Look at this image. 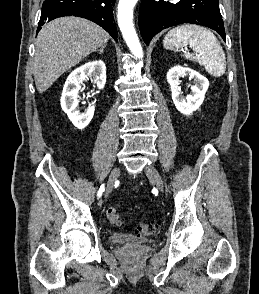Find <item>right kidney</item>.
Returning a JSON list of instances; mask_svg holds the SVG:
<instances>
[{
	"instance_id": "ca27d5eb",
	"label": "right kidney",
	"mask_w": 259,
	"mask_h": 294,
	"mask_svg": "<svg viewBox=\"0 0 259 294\" xmlns=\"http://www.w3.org/2000/svg\"><path fill=\"white\" fill-rule=\"evenodd\" d=\"M90 77L98 89H103L106 84V67L101 60L85 63L70 73L68 76L61 96V107L68 115L73 125L78 129H84L91 121L95 106L89 104L84 112L78 109V91L82 81Z\"/></svg>"
}]
</instances>
